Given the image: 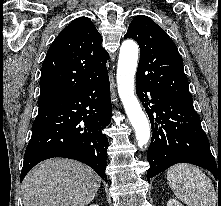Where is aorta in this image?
I'll list each match as a JSON object with an SVG mask.
<instances>
[{
    "instance_id": "1",
    "label": "aorta",
    "mask_w": 221,
    "mask_h": 206,
    "mask_svg": "<svg viewBox=\"0 0 221 206\" xmlns=\"http://www.w3.org/2000/svg\"><path fill=\"white\" fill-rule=\"evenodd\" d=\"M138 52V45L133 40L122 43L117 68V87L125 112L135 130L138 145L143 147L150 139V125L134 94Z\"/></svg>"
}]
</instances>
